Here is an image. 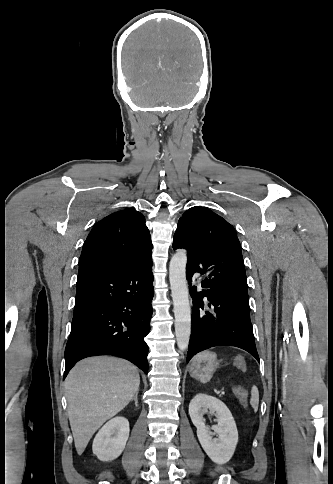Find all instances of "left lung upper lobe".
Returning a JSON list of instances; mask_svg holds the SVG:
<instances>
[{"instance_id": "obj_1", "label": "left lung upper lobe", "mask_w": 333, "mask_h": 484, "mask_svg": "<svg viewBox=\"0 0 333 484\" xmlns=\"http://www.w3.org/2000/svg\"><path fill=\"white\" fill-rule=\"evenodd\" d=\"M181 228H184L188 237L195 241L229 235L239 242L236 230L231 224L216 213L200 206L192 207L184 212L179 219L176 231Z\"/></svg>"}]
</instances>
